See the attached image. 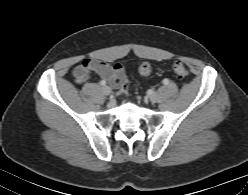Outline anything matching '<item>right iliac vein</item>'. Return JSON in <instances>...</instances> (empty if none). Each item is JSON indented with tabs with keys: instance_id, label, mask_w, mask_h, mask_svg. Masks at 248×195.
I'll return each mask as SVG.
<instances>
[{
	"instance_id": "obj_1",
	"label": "right iliac vein",
	"mask_w": 248,
	"mask_h": 195,
	"mask_svg": "<svg viewBox=\"0 0 248 195\" xmlns=\"http://www.w3.org/2000/svg\"><path fill=\"white\" fill-rule=\"evenodd\" d=\"M102 91L105 95H109L111 93V88L109 86H104Z\"/></svg>"
}]
</instances>
